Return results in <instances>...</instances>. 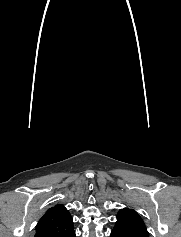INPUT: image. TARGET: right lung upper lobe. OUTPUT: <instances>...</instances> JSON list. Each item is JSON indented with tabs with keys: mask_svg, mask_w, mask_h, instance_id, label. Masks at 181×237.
I'll list each match as a JSON object with an SVG mask.
<instances>
[{
	"mask_svg": "<svg viewBox=\"0 0 181 237\" xmlns=\"http://www.w3.org/2000/svg\"><path fill=\"white\" fill-rule=\"evenodd\" d=\"M74 232L69 211L61 204L48 209L36 226L34 237H70Z\"/></svg>",
	"mask_w": 181,
	"mask_h": 237,
	"instance_id": "right-lung-upper-lobe-1",
	"label": "right lung upper lobe"
}]
</instances>
